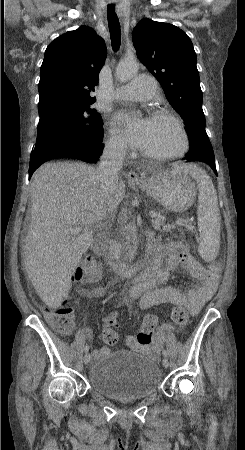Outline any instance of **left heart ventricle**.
<instances>
[{
	"instance_id": "b2bd125f",
	"label": "left heart ventricle",
	"mask_w": 245,
	"mask_h": 450,
	"mask_svg": "<svg viewBox=\"0 0 245 450\" xmlns=\"http://www.w3.org/2000/svg\"><path fill=\"white\" fill-rule=\"evenodd\" d=\"M182 146V137L174 124L167 120H149L147 138L142 149L151 153H173Z\"/></svg>"
}]
</instances>
